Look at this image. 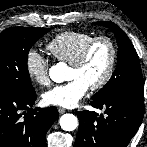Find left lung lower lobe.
<instances>
[{"label":"left lung lower lobe","mask_w":147,"mask_h":147,"mask_svg":"<svg viewBox=\"0 0 147 147\" xmlns=\"http://www.w3.org/2000/svg\"><path fill=\"white\" fill-rule=\"evenodd\" d=\"M96 112H77L79 129L74 147H126L136 134L143 116L144 101L130 97L92 100Z\"/></svg>","instance_id":"obj_1"}]
</instances>
